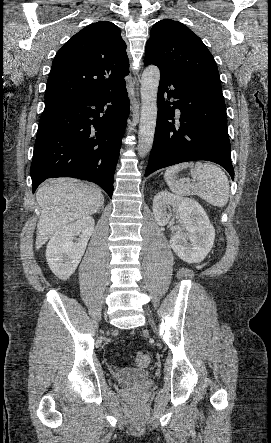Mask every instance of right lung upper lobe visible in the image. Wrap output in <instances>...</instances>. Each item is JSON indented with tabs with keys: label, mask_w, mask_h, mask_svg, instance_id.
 Returning a JSON list of instances; mask_svg holds the SVG:
<instances>
[{
	"label": "right lung upper lobe",
	"mask_w": 271,
	"mask_h": 443,
	"mask_svg": "<svg viewBox=\"0 0 271 443\" xmlns=\"http://www.w3.org/2000/svg\"><path fill=\"white\" fill-rule=\"evenodd\" d=\"M128 73L121 30L108 21L90 24L57 52L47 81L45 104L116 91L125 85Z\"/></svg>",
	"instance_id": "1"
}]
</instances>
